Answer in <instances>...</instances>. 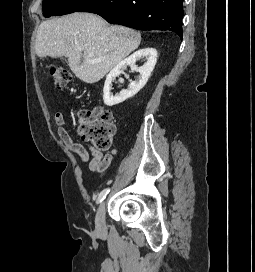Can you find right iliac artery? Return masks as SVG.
I'll return each instance as SVG.
<instances>
[{
    "label": "right iliac artery",
    "mask_w": 255,
    "mask_h": 272,
    "mask_svg": "<svg viewBox=\"0 0 255 272\" xmlns=\"http://www.w3.org/2000/svg\"><path fill=\"white\" fill-rule=\"evenodd\" d=\"M110 192V188H105L104 190H102L99 194L97 203H101L105 197L107 196V194Z\"/></svg>",
    "instance_id": "obj_1"
}]
</instances>
